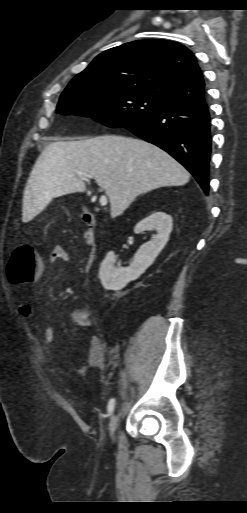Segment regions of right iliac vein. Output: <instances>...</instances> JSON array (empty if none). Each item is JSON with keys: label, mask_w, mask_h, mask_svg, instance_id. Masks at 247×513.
Here are the masks:
<instances>
[{"label": "right iliac vein", "mask_w": 247, "mask_h": 513, "mask_svg": "<svg viewBox=\"0 0 247 513\" xmlns=\"http://www.w3.org/2000/svg\"><path fill=\"white\" fill-rule=\"evenodd\" d=\"M118 422H119V414L117 412H114L112 414L111 421H110V434L113 439H114L115 431L117 429Z\"/></svg>", "instance_id": "obj_1"}]
</instances>
